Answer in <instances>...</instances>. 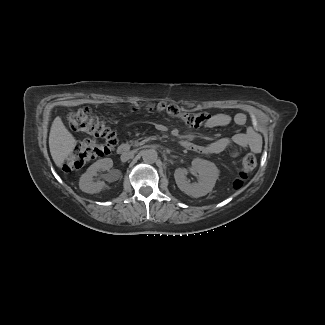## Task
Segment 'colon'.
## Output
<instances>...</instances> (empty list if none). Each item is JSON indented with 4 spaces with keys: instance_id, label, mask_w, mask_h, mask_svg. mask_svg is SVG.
<instances>
[{
    "instance_id": "5ec220e1",
    "label": "colon",
    "mask_w": 325,
    "mask_h": 325,
    "mask_svg": "<svg viewBox=\"0 0 325 325\" xmlns=\"http://www.w3.org/2000/svg\"><path fill=\"white\" fill-rule=\"evenodd\" d=\"M147 109L153 112L167 114L181 120L187 126L199 127L205 124L209 115L205 113H191L182 111L175 105L157 103L150 104ZM68 121L73 131L88 135L89 138L78 143L65 160L64 168L74 170L89 161L106 156L116 144V136L107 122L96 115L90 108L85 107L68 115ZM257 161L253 154L243 157L239 176L234 180V189H240L249 175L256 168Z\"/></svg>"
}]
</instances>
